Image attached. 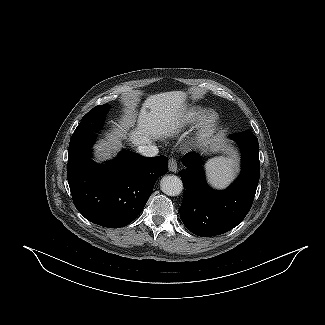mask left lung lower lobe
<instances>
[{
	"label": "left lung lower lobe",
	"mask_w": 325,
	"mask_h": 325,
	"mask_svg": "<svg viewBox=\"0 0 325 325\" xmlns=\"http://www.w3.org/2000/svg\"><path fill=\"white\" fill-rule=\"evenodd\" d=\"M230 137L241 148L242 171L226 190L216 191L207 185L198 154L192 152L182 158L186 168L180 171L185 189L180 217L187 229L198 236L220 235L233 229L252 206L260 174L258 140L251 131Z\"/></svg>",
	"instance_id": "1"
}]
</instances>
